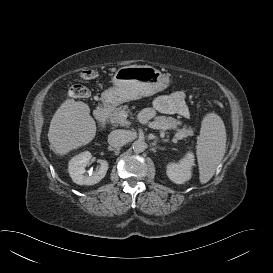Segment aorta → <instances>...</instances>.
<instances>
[{
	"label": "aorta",
	"instance_id": "obj_1",
	"mask_svg": "<svg viewBox=\"0 0 273 273\" xmlns=\"http://www.w3.org/2000/svg\"><path fill=\"white\" fill-rule=\"evenodd\" d=\"M134 152L141 153L146 149V143L143 140H136L132 144Z\"/></svg>",
	"mask_w": 273,
	"mask_h": 273
}]
</instances>
